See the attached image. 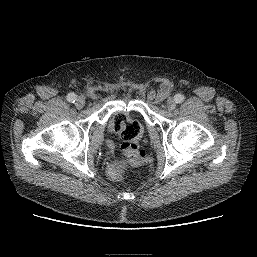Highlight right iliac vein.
Returning a JSON list of instances; mask_svg holds the SVG:
<instances>
[{"mask_svg":"<svg viewBox=\"0 0 257 257\" xmlns=\"http://www.w3.org/2000/svg\"><path fill=\"white\" fill-rule=\"evenodd\" d=\"M85 105V98L80 96L75 101V106L79 109L83 108Z\"/></svg>","mask_w":257,"mask_h":257,"instance_id":"right-iliac-vein-1","label":"right iliac vein"}]
</instances>
